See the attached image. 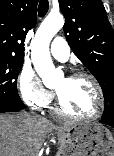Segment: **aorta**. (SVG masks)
<instances>
[{
	"instance_id": "1",
	"label": "aorta",
	"mask_w": 114,
	"mask_h": 156,
	"mask_svg": "<svg viewBox=\"0 0 114 156\" xmlns=\"http://www.w3.org/2000/svg\"><path fill=\"white\" fill-rule=\"evenodd\" d=\"M63 25L64 19L62 15L51 14L41 23L34 38L31 58L36 72L45 85L54 83L58 76L62 75L61 71L54 68L49 45L54 35Z\"/></svg>"
}]
</instances>
